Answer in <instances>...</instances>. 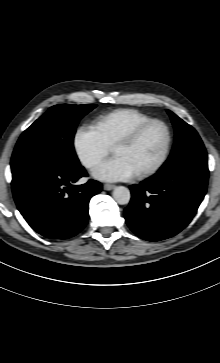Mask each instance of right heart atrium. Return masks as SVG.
I'll return each instance as SVG.
<instances>
[{
    "label": "right heart atrium",
    "mask_w": 220,
    "mask_h": 363,
    "mask_svg": "<svg viewBox=\"0 0 220 363\" xmlns=\"http://www.w3.org/2000/svg\"><path fill=\"white\" fill-rule=\"evenodd\" d=\"M73 149L77 159L88 169L98 165L110 152V147L97 129L87 124L76 128Z\"/></svg>",
    "instance_id": "obj_1"
}]
</instances>
